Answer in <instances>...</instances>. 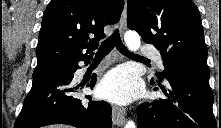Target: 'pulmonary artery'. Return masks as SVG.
I'll return each mask as SVG.
<instances>
[{
    "label": "pulmonary artery",
    "mask_w": 221,
    "mask_h": 128,
    "mask_svg": "<svg viewBox=\"0 0 221 128\" xmlns=\"http://www.w3.org/2000/svg\"><path fill=\"white\" fill-rule=\"evenodd\" d=\"M139 56L146 60H148V58H154L157 61L160 68L164 67L161 55L154 48L142 50Z\"/></svg>",
    "instance_id": "e3ab8cb5"
}]
</instances>
